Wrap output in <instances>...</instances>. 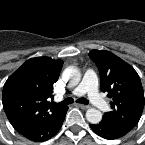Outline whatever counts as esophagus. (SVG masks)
<instances>
[{"mask_svg": "<svg viewBox=\"0 0 145 145\" xmlns=\"http://www.w3.org/2000/svg\"><path fill=\"white\" fill-rule=\"evenodd\" d=\"M74 106L77 108H81L83 110H86L90 107L89 105H83V104H78V103H75Z\"/></svg>", "mask_w": 145, "mask_h": 145, "instance_id": "obj_1", "label": "esophagus"}]
</instances>
